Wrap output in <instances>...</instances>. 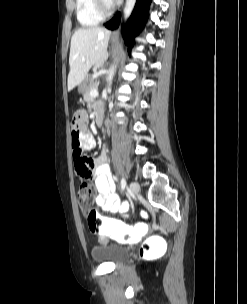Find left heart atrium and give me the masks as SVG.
<instances>
[{
  "instance_id": "left-heart-atrium-1",
  "label": "left heart atrium",
  "mask_w": 247,
  "mask_h": 304,
  "mask_svg": "<svg viewBox=\"0 0 247 304\" xmlns=\"http://www.w3.org/2000/svg\"><path fill=\"white\" fill-rule=\"evenodd\" d=\"M113 3H116V2H118V1H120V0H111Z\"/></svg>"
}]
</instances>
